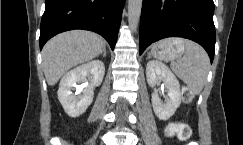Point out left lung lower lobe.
Returning <instances> with one entry per match:
<instances>
[{
    "instance_id": "1",
    "label": "left lung lower lobe",
    "mask_w": 243,
    "mask_h": 145,
    "mask_svg": "<svg viewBox=\"0 0 243 145\" xmlns=\"http://www.w3.org/2000/svg\"><path fill=\"white\" fill-rule=\"evenodd\" d=\"M213 0H143L140 22V55L165 37H184L199 43L211 63L215 51Z\"/></svg>"
}]
</instances>
